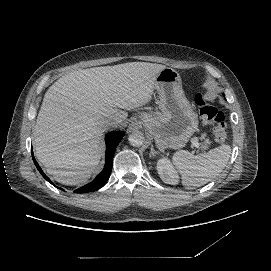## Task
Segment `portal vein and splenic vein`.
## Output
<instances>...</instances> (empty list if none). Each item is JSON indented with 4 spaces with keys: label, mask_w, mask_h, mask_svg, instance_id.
<instances>
[{
    "label": "portal vein and splenic vein",
    "mask_w": 271,
    "mask_h": 271,
    "mask_svg": "<svg viewBox=\"0 0 271 271\" xmlns=\"http://www.w3.org/2000/svg\"><path fill=\"white\" fill-rule=\"evenodd\" d=\"M188 142L190 144V146H192V148L195 150V151H198L200 149V143L199 141H197V139L193 138V137H190L188 139Z\"/></svg>",
    "instance_id": "obj_1"
}]
</instances>
